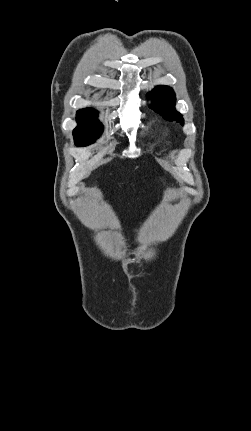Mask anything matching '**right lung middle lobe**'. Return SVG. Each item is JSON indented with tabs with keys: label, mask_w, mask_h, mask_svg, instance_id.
Wrapping results in <instances>:
<instances>
[{
	"label": "right lung middle lobe",
	"mask_w": 251,
	"mask_h": 431,
	"mask_svg": "<svg viewBox=\"0 0 251 431\" xmlns=\"http://www.w3.org/2000/svg\"><path fill=\"white\" fill-rule=\"evenodd\" d=\"M97 112L93 109H83L77 112V127L73 130L74 142L77 146L93 143L102 133L103 126L97 119Z\"/></svg>",
	"instance_id": "dd1d6c3e"
}]
</instances>
